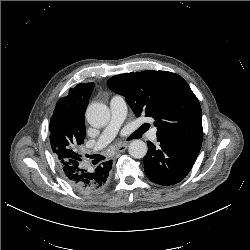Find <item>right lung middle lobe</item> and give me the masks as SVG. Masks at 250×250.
I'll return each instance as SVG.
<instances>
[{"instance_id": "dd1d6c3e", "label": "right lung middle lobe", "mask_w": 250, "mask_h": 250, "mask_svg": "<svg viewBox=\"0 0 250 250\" xmlns=\"http://www.w3.org/2000/svg\"><path fill=\"white\" fill-rule=\"evenodd\" d=\"M85 139V133L76 135L74 139H68L64 136L50 134V144L54 156L57 161L59 159L64 160H81V156L77 153V147L83 144Z\"/></svg>"}]
</instances>
